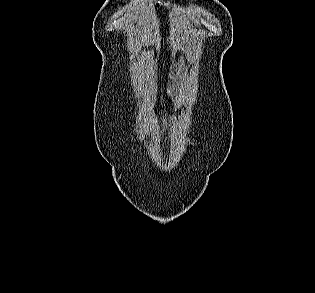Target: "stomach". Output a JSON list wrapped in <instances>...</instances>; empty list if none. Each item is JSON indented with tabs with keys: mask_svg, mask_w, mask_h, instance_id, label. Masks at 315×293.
Instances as JSON below:
<instances>
[{
	"mask_svg": "<svg viewBox=\"0 0 315 293\" xmlns=\"http://www.w3.org/2000/svg\"><path fill=\"white\" fill-rule=\"evenodd\" d=\"M176 76H177V68L175 72L172 73V76L170 78L168 88H167V93L170 95L172 98L177 95V87H176Z\"/></svg>",
	"mask_w": 315,
	"mask_h": 293,
	"instance_id": "stomach-1",
	"label": "stomach"
}]
</instances>
